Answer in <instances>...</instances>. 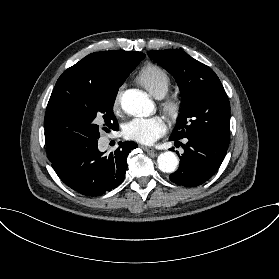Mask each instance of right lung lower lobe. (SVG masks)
Returning a JSON list of instances; mask_svg holds the SVG:
<instances>
[{
  "label": "right lung lower lobe",
  "instance_id": "obj_1",
  "mask_svg": "<svg viewBox=\"0 0 279 279\" xmlns=\"http://www.w3.org/2000/svg\"><path fill=\"white\" fill-rule=\"evenodd\" d=\"M97 144L98 140L83 149L50 160L67 186L88 197L100 196L124 180L127 155L137 147L134 142H119L118 149L106 157L98 150Z\"/></svg>",
  "mask_w": 279,
  "mask_h": 279
}]
</instances>
